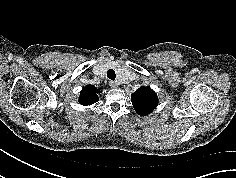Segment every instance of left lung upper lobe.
Returning <instances> with one entry per match:
<instances>
[{"instance_id":"5c2ea615","label":"left lung upper lobe","mask_w":236,"mask_h":178,"mask_svg":"<svg viewBox=\"0 0 236 178\" xmlns=\"http://www.w3.org/2000/svg\"><path fill=\"white\" fill-rule=\"evenodd\" d=\"M131 101L135 111L146 116L150 114L158 104L156 93L150 87H140L131 95Z\"/></svg>"}]
</instances>
